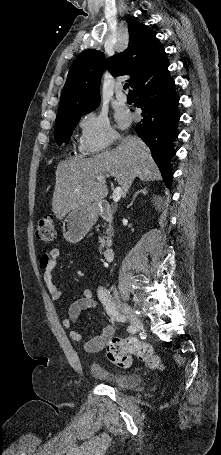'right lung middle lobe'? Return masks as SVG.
I'll use <instances>...</instances> for the list:
<instances>
[{
    "mask_svg": "<svg viewBox=\"0 0 221 455\" xmlns=\"http://www.w3.org/2000/svg\"><path fill=\"white\" fill-rule=\"evenodd\" d=\"M97 107L98 105L80 113L64 115L57 118L55 123L54 134L57 143L61 145L63 142L68 141L71 138V134L76 124L79 122L80 117L84 114H87L88 112L95 110Z\"/></svg>",
    "mask_w": 221,
    "mask_h": 455,
    "instance_id": "obj_1",
    "label": "right lung middle lobe"
}]
</instances>
